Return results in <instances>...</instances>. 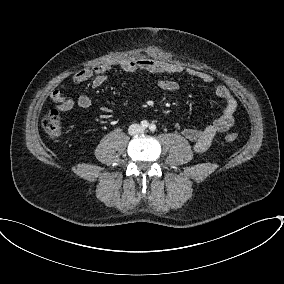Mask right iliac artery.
Returning a JSON list of instances; mask_svg holds the SVG:
<instances>
[{
	"instance_id": "1",
	"label": "right iliac artery",
	"mask_w": 284,
	"mask_h": 284,
	"mask_svg": "<svg viewBox=\"0 0 284 284\" xmlns=\"http://www.w3.org/2000/svg\"><path fill=\"white\" fill-rule=\"evenodd\" d=\"M141 125H142L143 128H147L148 125H149V123H148L146 120H143V121L141 122Z\"/></svg>"
}]
</instances>
